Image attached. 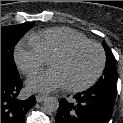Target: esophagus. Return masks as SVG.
<instances>
[{
    "label": "esophagus",
    "mask_w": 123,
    "mask_h": 123,
    "mask_svg": "<svg viewBox=\"0 0 123 123\" xmlns=\"http://www.w3.org/2000/svg\"><path fill=\"white\" fill-rule=\"evenodd\" d=\"M44 99H45V96H40V95H37V96H36V101H37L38 103L43 102Z\"/></svg>",
    "instance_id": "obj_1"
}]
</instances>
